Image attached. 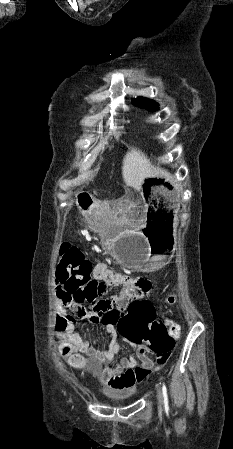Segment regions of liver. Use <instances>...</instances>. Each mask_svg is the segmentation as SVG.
Returning a JSON list of instances; mask_svg holds the SVG:
<instances>
[{"label": "liver", "mask_w": 233, "mask_h": 449, "mask_svg": "<svg viewBox=\"0 0 233 449\" xmlns=\"http://www.w3.org/2000/svg\"><path fill=\"white\" fill-rule=\"evenodd\" d=\"M151 173L149 161L137 150H131L123 158L122 177L126 186L140 190L146 177Z\"/></svg>", "instance_id": "1"}]
</instances>
